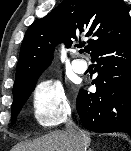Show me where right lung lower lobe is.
I'll return each instance as SVG.
<instances>
[{
    "label": "right lung lower lobe",
    "mask_w": 131,
    "mask_h": 151,
    "mask_svg": "<svg viewBox=\"0 0 131 151\" xmlns=\"http://www.w3.org/2000/svg\"><path fill=\"white\" fill-rule=\"evenodd\" d=\"M96 62V92L81 90L77 112L88 130L125 132L131 136V31L91 54Z\"/></svg>",
    "instance_id": "right-lung-lower-lobe-1"
}]
</instances>
